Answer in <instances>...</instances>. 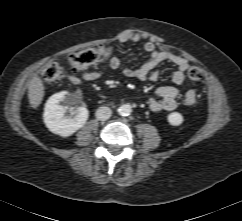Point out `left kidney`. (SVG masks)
Masks as SVG:
<instances>
[{
    "label": "left kidney",
    "mask_w": 242,
    "mask_h": 221,
    "mask_svg": "<svg viewBox=\"0 0 242 221\" xmlns=\"http://www.w3.org/2000/svg\"><path fill=\"white\" fill-rule=\"evenodd\" d=\"M168 122L172 126H179L183 122V116L178 112H172L167 117Z\"/></svg>",
    "instance_id": "left-kidney-1"
}]
</instances>
